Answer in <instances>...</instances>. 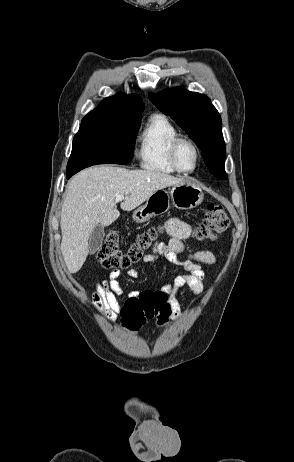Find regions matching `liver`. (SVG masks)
<instances>
[{
  "label": "liver",
  "instance_id": "obj_1",
  "mask_svg": "<svg viewBox=\"0 0 294 462\" xmlns=\"http://www.w3.org/2000/svg\"><path fill=\"white\" fill-rule=\"evenodd\" d=\"M184 179L147 170H128L111 165L87 168L66 186L61 209V251L70 273L81 269L89 253L88 240L100 224L109 226L120 216L115 205L118 195L127 198L120 207L131 211L154 192L177 185Z\"/></svg>",
  "mask_w": 294,
  "mask_h": 462
}]
</instances>
